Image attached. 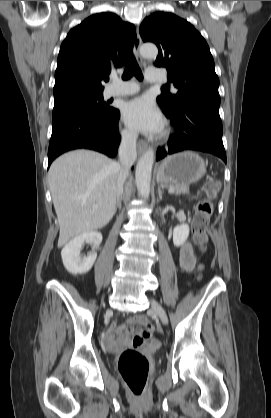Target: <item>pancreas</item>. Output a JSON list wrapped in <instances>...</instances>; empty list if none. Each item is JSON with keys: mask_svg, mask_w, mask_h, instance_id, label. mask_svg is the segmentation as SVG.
Listing matches in <instances>:
<instances>
[{"mask_svg": "<svg viewBox=\"0 0 271 418\" xmlns=\"http://www.w3.org/2000/svg\"><path fill=\"white\" fill-rule=\"evenodd\" d=\"M169 188H173L175 194H188L189 186L188 185H169Z\"/></svg>", "mask_w": 271, "mask_h": 418, "instance_id": "cf45deb5", "label": "pancreas"}]
</instances>
